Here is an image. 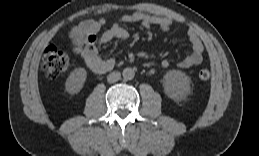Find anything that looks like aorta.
I'll return each instance as SVG.
<instances>
[{
	"label": "aorta",
	"mask_w": 259,
	"mask_h": 156,
	"mask_svg": "<svg viewBox=\"0 0 259 156\" xmlns=\"http://www.w3.org/2000/svg\"><path fill=\"white\" fill-rule=\"evenodd\" d=\"M122 75L125 80H132L135 76V71L127 67L123 70Z\"/></svg>",
	"instance_id": "aorta-1"
}]
</instances>
